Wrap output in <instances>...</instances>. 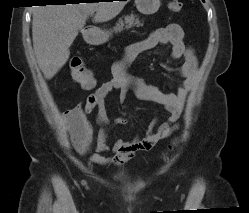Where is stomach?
Here are the masks:
<instances>
[{"label": "stomach", "instance_id": "0dacf381", "mask_svg": "<svg viewBox=\"0 0 249 213\" xmlns=\"http://www.w3.org/2000/svg\"><path fill=\"white\" fill-rule=\"evenodd\" d=\"M138 11L145 15L154 14L160 8V0H135ZM110 32L97 30L87 36V41L93 45H100L108 41Z\"/></svg>", "mask_w": 249, "mask_h": 213}]
</instances>
